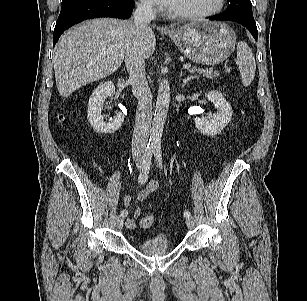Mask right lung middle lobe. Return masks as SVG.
I'll use <instances>...</instances> for the list:
<instances>
[{"label": "right lung middle lobe", "instance_id": "obj_1", "mask_svg": "<svg viewBox=\"0 0 307 301\" xmlns=\"http://www.w3.org/2000/svg\"><path fill=\"white\" fill-rule=\"evenodd\" d=\"M75 1H78V0H63L62 5L72 3V2H75Z\"/></svg>", "mask_w": 307, "mask_h": 301}]
</instances>
